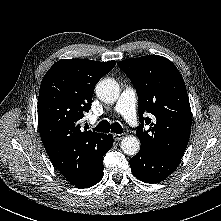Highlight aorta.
<instances>
[{
    "instance_id": "1",
    "label": "aorta",
    "mask_w": 221,
    "mask_h": 221,
    "mask_svg": "<svg viewBox=\"0 0 221 221\" xmlns=\"http://www.w3.org/2000/svg\"><path fill=\"white\" fill-rule=\"evenodd\" d=\"M95 93L102 102L112 104L119 98V84L111 78L102 79L97 83ZM121 149L125 154L134 156L140 149V141L135 136H126L121 141Z\"/></svg>"
}]
</instances>
